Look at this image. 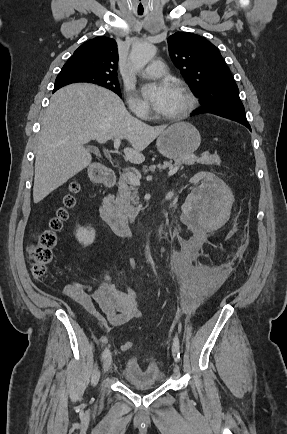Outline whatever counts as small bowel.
Here are the masks:
<instances>
[{"label":"small bowel","instance_id":"small-bowel-1","mask_svg":"<svg viewBox=\"0 0 287 434\" xmlns=\"http://www.w3.org/2000/svg\"><path fill=\"white\" fill-rule=\"evenodd\" d=\"M117 279L126 291L116 289L111 274L105 272L96 289L86 291L79 283L69 282L64 288V295L109 331L140 316L137 293L119 273Z\"/></svg>","mask_w":287,"mask_h":434}]
</instances>
